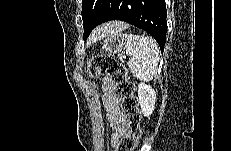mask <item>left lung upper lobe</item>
Segmentation results:
<instances>
[{"label":"left lung upper lobe","mask_w":231,"mask_h":151,"mask_svg":"<svg viewBox=\"0 0 231 151\" xmlns=\"http://www.w3.org/2000/svg\"><path fill=\"white\" fill-rule=\"evenodd\" d=\"M115 0H83L82 19L84 37L89 36L91 31L98 26L100 20L109 12Z\"/></svg>","instance_id":"5c2ea615"}]
</instances>
